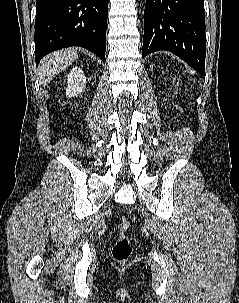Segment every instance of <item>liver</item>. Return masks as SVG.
I'll list each match as a JSON object with an SVG mask.
<instances>
[{
	"instance_id": "obj_1",
	"label": "liver",
	"mask_w": 239,
	"mask_h": 303,
	"mask_svg": "<svg viewBox=\"0 0 239 303\" xmlns=\"http://www.w3.org/2000/svg\"><path fill=\"white\" fill-rule=\"evenodd\" d=\"M77 51L73 48L56 51L46 56L39 66V77L42 86H46L57 74L77 59Z\"/></svg>"
}]
</instances>
